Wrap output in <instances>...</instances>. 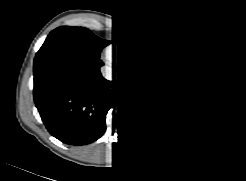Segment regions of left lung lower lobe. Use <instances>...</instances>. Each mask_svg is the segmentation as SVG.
Instances as JSON below:
<instances>
[{
    "instance_id": "obj_1",
    "label": "left lung lower lobe",
    "mask_w": 246,
    "mask_h": 181,
    "mask_svg": "<svg viewBox=\"0 0 246 181\" xmlns=\"http://www.w3.org/2000/svg\"><path fill=\"white\" fill-rule=\"evenodd\" d=\"M219 88L211 54L191 57L181 77L166 87H137L134 108L145 135L162 146L191 140L212 118Z\"/></svg>"
}]
</instances>
